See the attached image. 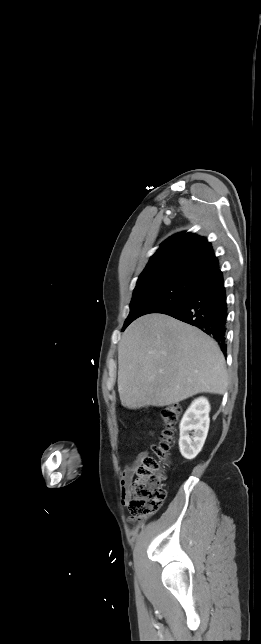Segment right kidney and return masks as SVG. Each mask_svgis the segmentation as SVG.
<instances>
[{
  "mask_svg": "<svg viewBox=\"0 0 261 644\" xmlns=\"http://www.w3.org/2000/svg\"><path fill=\"white\" fill-rule=\"evenodd\" d=\"M209 412L208 400L200 397L192 402L183 415L180 422L179 448L184 458L193 459L201 451L209 430Z\"/></svg>",
  "mask_w": 261,
  "mask_h": 644,
  "instance_id": "1",
  "label": "right kidney"
}]
</instances>
